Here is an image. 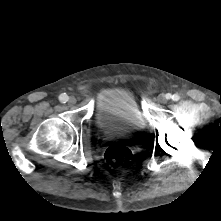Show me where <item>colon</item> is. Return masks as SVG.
Here are the masks:
<instances>
[{"label":"colon","mask_w":221,"mask_h":221,"mask_svg":"<svg viewBox=\"0 0 221 221\" xmlns=\"http://www.w3.org/2000/svg\"><path fill=\"white\" fill-rule=\"evenodd\" d=\"M132 158L131 150L120 143L110 145L104 153L105 162L112 168H123Z\"/></svg>","instance_id":"colon-1"}]
</instances>
